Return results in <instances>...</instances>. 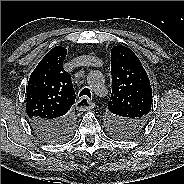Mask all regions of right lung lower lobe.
I'll use <instances>...</instances> for the list:
<instances>
[{
    "label": "right lung lower lobe",
    "instance_id": "right-lung-lower-lobe-1",
    "mask_svg": "<svg viewBox=\"0 0 184 184\" xmlns=\"http://www.w3.org/2000/svg\"><path fill=\"white\" fill-rule=\"evenodd\" d=\"M30 123L33 130L45 141L61 135L62 132L67 131L74 125L73 118L70 114L58 121L45 122L40 120H30Z\"/></svg>",
    "mask_w": 184,
    "mask_h": 184
}]
</instances>
